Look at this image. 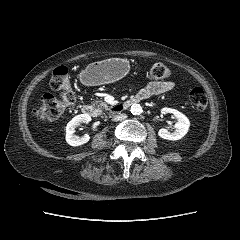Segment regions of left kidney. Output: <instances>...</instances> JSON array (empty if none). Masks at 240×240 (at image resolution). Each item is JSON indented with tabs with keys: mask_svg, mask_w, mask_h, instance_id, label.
<instances>
[{
	"mask_svg": "<svg viewBox=\"0 0 240 240\" xmlns=\"http://www.w3.org/2000/svg\"><path fill=\"white\" fill-rule=\"evenodd\" d=\"M161 111L162 113H171L175 115L178 122L174 126L175 131L173 133H170L167 129L162 128L158 131V135L166 140H179L184 137L190 127L189 119L176 109L163 108Z\"/></svg>",
	"mask_w": 240,
	"mask_h": 240,
	"instance_id": "1",
	"label": "left kidney"
}]
</instances>
